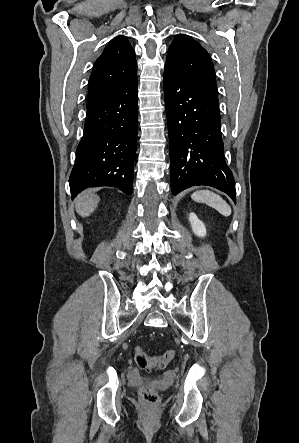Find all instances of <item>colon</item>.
Segmentation results:
<instances>
[{
    "label": "colon",
    "instance_id": "obj_1",
    "mask_svg": "<svg viewBox=\"0 0 299 443\" xmlns=\"http://www.w3.org/2000/svg\"><path fill=\"white\" fill-rule=\"evenodd\" d=\"M175 357L174 351H167L161 355L148 356L142 347L135 348V362L140 369L152 370L165 368ZM142 402L148 405H156L159 397L156 391L148 384L143 385L139 391Z\"/></svg>",
    "mask_w": 299,
    "mask_h": 443
}]
</instances>
